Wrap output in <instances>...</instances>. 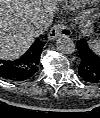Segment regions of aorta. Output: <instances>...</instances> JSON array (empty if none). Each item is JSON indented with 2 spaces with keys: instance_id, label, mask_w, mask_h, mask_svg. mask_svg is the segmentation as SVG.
<instances>
[{
  "instance_id": "aorta-1",
  "label": "aorta",
  "mask_w": 100,
  "mask_h": 118,
  "mask_svg": "<svg viewBox=\"0 0 100 118\" xmlns=\"http://www.w3.org/2000/svg\"><path fill=\"white\" fill-rule=\"evenodd\" d=\"M57 49L63 54H72L75 52V44L68 36H60L56 42Z\"/></svg>"
}]
</instances>
